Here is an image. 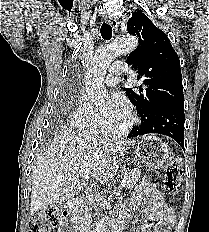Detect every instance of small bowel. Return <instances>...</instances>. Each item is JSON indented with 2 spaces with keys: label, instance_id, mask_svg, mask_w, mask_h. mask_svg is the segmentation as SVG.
<instances>
[{
  "label": "small bowel",
  "instance_id": "obj_1",
  "mask_svg": "<svg viewBox=\"0 0 209 232\" xmlns=\"http://www.w3.org/2000/svg\"><path fill=\"white\" fill-rule=\"evenodd\" d=\"M129 206L145 216L142 225L133 232H152L153 226L156 232H170L168 227L176 222V216L172 208L164 202L161 191L156 184L147 179L141 181ZM125 218L124 211L117 214L120 223H123Z\"/></svg>",
  "mask_w": 209,
  "mask_h": 232
}]
</instances>
